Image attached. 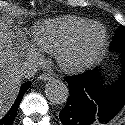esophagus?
<instances>
[{
	"mask_svg": "<svg viewBox=\"0 0 125 125\" xmlns=\"http://www.w3.org/2000/svg\"><path fill=\"white\" fill-rule=\"evenodd\" d=\"M50 76L48 74H42L39 76V79L42 80V81H48L50 80Z\"/></svg>",
	"mask_w": 125,
	"mask_h": 125,
	"instance_id": "1",
	"label": "esophagus"
}]
</instances>
